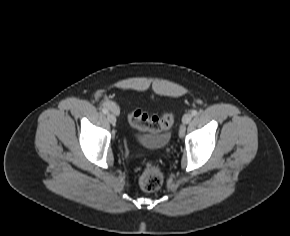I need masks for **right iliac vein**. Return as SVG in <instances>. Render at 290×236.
<instances>
[{"label": "right iliac vein", "instance_id": "right-iliac-vein-1", "mask_svg": "<svg viewBox=\"0 0 290 236\" xmlns=\"http://www.w3.org/2000/svg\"><path fill=\"white\" fill-rule=\"evenodd\" d=\"M107 119L111 124H115L116 123V116L115 114L112 113H108L107 114Z\"/></svg>", "mask_w": 290, "mask_h": 236}]
</instances>
